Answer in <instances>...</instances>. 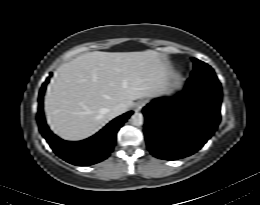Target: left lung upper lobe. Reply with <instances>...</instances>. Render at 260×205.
<instances>
[{"instance_id": "5c2ea615", "label": "left lung upper lobe", "mask_w": 260, "mask_h": 205, "mask_svg": "<svg viewBox=\"0 0 260 205\" xmlns=\"http://www.w3.org/2000/svg\"><path fill=\"white\" fill-rule=\"evenodd\" d=\"M194 70L191 73L192 78H199L208 81L218 82V79L214 73V70L206 63L193 58Z\"/></svg>"}]
</instances>
